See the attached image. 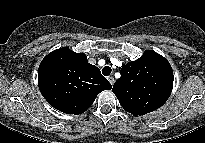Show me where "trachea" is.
I'll list each match as a JSON object with an SVG mask.
<instances>
[{
	"label": "trachea",
	"instance_id": "3493384b",
	"mask_svg": "<svg viewBox=\"0 0 205 143\" xmlns=\"http://www.w3.org/2000/svg\"><path fill=\"white\" fill-rule=\"evenodd\" d=\"M111 68L109 67V66H105L103 69H102V74L104 75V76H108V75H110V73H111Z\"/></svg>",
	"mask_w": 205,
	"mask_h": 143
}]
</instances>
